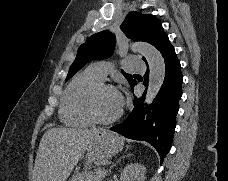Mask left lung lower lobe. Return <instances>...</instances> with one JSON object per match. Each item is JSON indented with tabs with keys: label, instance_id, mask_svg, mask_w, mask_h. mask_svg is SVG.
Segmentation results:
<instances>
[{
	"label": "left lung lower lobe",
	"instance_id": "1",
	"mask_svg": "<svg viewBox=\"0 0 228 181\" xmlns=\"http://www.w3.org/2000/svg\"><path fill=\"white\" fill-rule=\"evenodd\" d=\"M165 61V80L154 101L144 106L146 91L141 97L134 96V107L129 116L111 130L134 140L149 142L164 158L169 152L173 140L176 115L179 110L178 102L182 96V80L180 62L175 54L174 47L168 37L157 47ZM147 64V61L144 60ZM148 67V64H147ZM147 70L144 80L134 77L138 81L148 84ZM137 84H131L133 90Z\"/></svg>",
	"mask_w": 228,
	"mask_h": 181
}]
</instances>
